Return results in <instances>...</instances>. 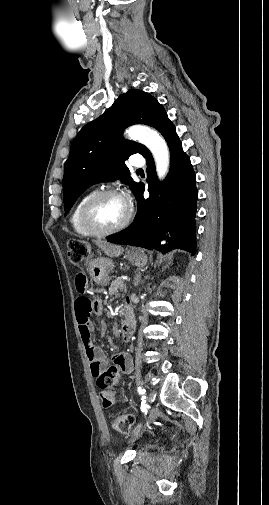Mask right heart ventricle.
<instances>
[{
  "label": "right heart ventricle",
  "mask_w": 269,
  "mask_h": 505,
  "mask_svg": "<svg viewBox=\"0 0 269 505\" xmlns=\"http://www.w3.org/2000/svg\"><path fill=\"white\" fill-rule=\"evenodd\" d=\"M94 192H89L82 196L78 202L75 204L74 208L71 211L70 214V224L73 229V231L82 237H90L93 236L92 233H90L81 223L80 220V211L83 206V204L86 202V200L93 194Z\"/></svg>",
  "instance_id": "right-heart-ventricle-1"
}]
</instances>
